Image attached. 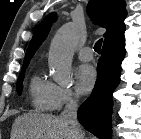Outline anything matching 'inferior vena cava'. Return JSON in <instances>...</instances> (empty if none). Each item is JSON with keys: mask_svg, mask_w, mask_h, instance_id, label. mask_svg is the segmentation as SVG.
Listing matches in <instances>:
<instances>
[{"mask_svg": "<svg viewBox=\"0 0 141 139\" xmlns=\"http://www.w3.org/2000/svg\"><path fill=\"white\" fill-rule=\"evenodd\" d=\"M77 100L69 96L65 104V108L61 113V117L65 119L71 126V132L75 139H82V131L77 119Z\"/></svg>", "mask_w": 141, "mask_h": 139, "instance_id": "602c4592", "label": "inferior vena cava"}]
</instances>
